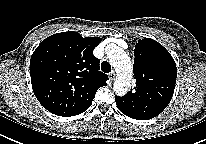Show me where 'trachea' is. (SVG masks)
<instances>
[{
	"label": "trachea",
	"mask_w": 206,
	"mask_h": 144,
	"mask_svg": "<svg viewBox=\"0 0 206 144\" xmlns=\"http://www.w3.org/2000/svg\"><path fill=\"white\" fill-rule=\"evenodd\" d=\"M101 70L104 72V73H109L111 72V65L109 62L107 61H103L101 63Z\"/></svg>",
	"instance_id": "1"
}]
</instances>
